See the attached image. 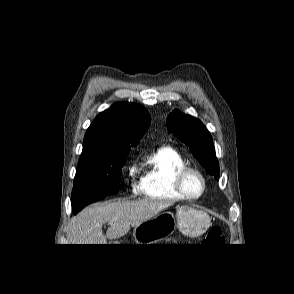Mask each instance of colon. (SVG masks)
<instances>
[{
  "label": "colon",
  "instance_id": "5ec220e1",
  "mask_svg": "<svg viewBox=\"0 0 294 294\" xmlns=\"http://www.w3.org/2000/svg\"><path fill=\"white\" fill-rule=\"evenodd\" d=\"M203 242L206 244H222L224 238L221 229L219 227L211 228L205 235Z\"/></svg>",
  "mask_w": 294,
  "mask_h": 294
}]
</instances>
